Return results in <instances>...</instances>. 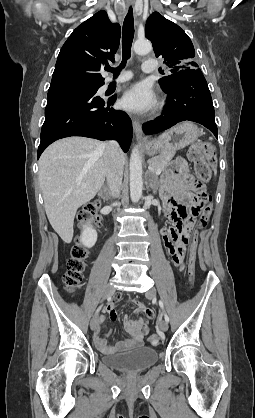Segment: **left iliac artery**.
Segmentation results:
<instances>
[{
	"mask_svg": "<svg viewBox=\"0 0 255 418\" xmlns=\"http://www.w3.org/2000/svg\"><path fill=\"white\" fill-rule=\"evenodd\" d=\"M159 304H160L161 308L164 310L162 301H160ZM164 318H165V321L166 322H169V317H168V315L166 313H164Z\"/></svg>",
	"mask_w": 255,
	"mask_h": 418,
	"instance_id": "1",
	"label": "left iliac artery"
}]
</instances>
